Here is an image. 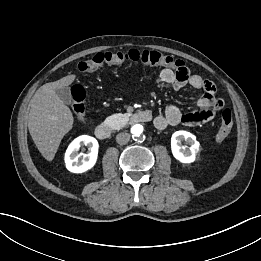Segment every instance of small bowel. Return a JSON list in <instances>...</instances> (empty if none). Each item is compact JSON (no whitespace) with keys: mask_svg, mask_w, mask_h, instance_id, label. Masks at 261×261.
<instances>
[{"mask_svg":"<svg viewBox=\"0 0 261 261\" xmlns=\"http://www.w3.org/2000/svg\"><path fill=\"white\" fill-rule=\"evenodd\" d=\"M159 80L167 88L180 90L189 85L195 90L203 91V95L198 100L200 110L196 112L182 113L176 106L168 105L163 114L154 118V126L158 130L180 124L196 126L209 122L223 108L224 102L217 96L215 84L198 74L191 75L185 66L175 71L169 68L162 69L159 72Z\"/></svg>","mask_w":261,"mask_h":261,"instance_id":"small-bowel-1","label":"small bowel"}]
</instances>
